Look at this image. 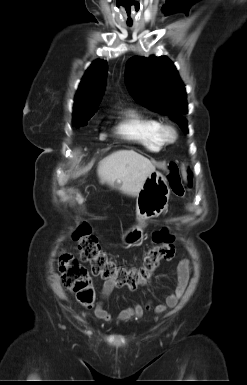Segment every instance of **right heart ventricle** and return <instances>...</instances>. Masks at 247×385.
I'll use <instances>...</instances> for the list:
<instances>
[{
  "label": "right heart ventricle",
  "instance_id": "1",
  "mask_svg": "<svg viewBox=\"0 0 247 385\" xmlns=\"http://www.w3.org/2000/svg\"><path fill=\"white\" fill-rule=\"evenodd\" d=\"M160 122L136 110H127L116 126V132L122 138L138 143L146 150L158 152L163 147L158 130Z\"/></svg>",
  "mask_w": 247,
  "mask_h": 385
}]
</instances>
